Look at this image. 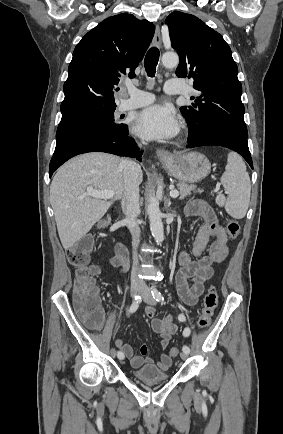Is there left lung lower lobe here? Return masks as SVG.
<instances>
[{
    "instance_id": "1",
    "label": "left lung lower lobe",
    "mask_w": 283,
    "mask_h": 434,
    "mask_svg": "<svg viewBox=\"0 0 283 434\" xmlns=\"http://www.w3.org/2000/svg\"><path fill=\"white\" fill-rule=\"evenodd\" d=\"M188 148L199 146H222L239 153L253 169L247 138L230 132H216L196 140H188Z\"/></svg>"
}]
</instances>
